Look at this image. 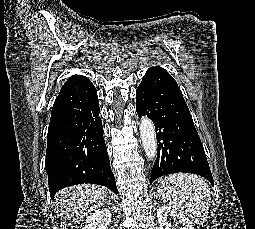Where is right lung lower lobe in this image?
I'll list each match as a JSON object with an SVG mask.
<instances>
[{
	"instance_id": "1",
	"label": "right lung lower lobe",
	"mask_w": 255,
	"mask_h": 229,
	"mask_svg": "<svg viewBox=\"0 0 255 229\" xmlns=\"http://www.w3.org/2000/svg\"><path fill=\"white\" fill-rule=\"evenodd\" d=\"M97 91L90 80L72 76L56 98L48 128L45 168L51 196L83 183L118 193L111 171Z\"/></svg>"
}]
</instances>
